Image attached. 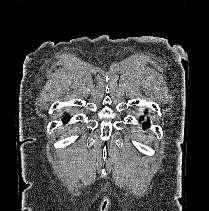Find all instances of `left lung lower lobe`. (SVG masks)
<instances>
[{
  "instance_id": "1",
  "label": "left lung lower lobe",
  "mask_w": 209,
  "mask_h": 211,
  "mask_svg": "<svg viewBox=\"0 0 209 211\" xmlns=\"http://www.w3.org/2000/svg\"><path fill=\"white\" fill-rule=\"evenodd\" d=\"M140 120L142 121L143 118H140ZM148 126H149V120H147L146 123H143V128H146V127H148Z\"/></svg>"
}]
</instances>
